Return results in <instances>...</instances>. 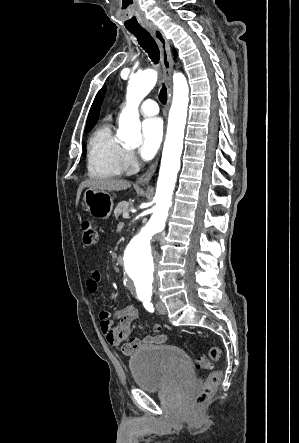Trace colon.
I'll use <instances>...</instances> for the list:
<instances>
[{"label":"colon","mask_w":299,"mask_h":443,"mask_svg":"<svg viewBox=\"0 0 299 443\" xmlns=\"http://www.w3.org/2000/svg\"><path fill=\"white\" fill-rule=\"evenodd\" d=\"M81 237L84 245L93 246L97 243L98 235L93 223L89 220H83L80 224ZM222 357V351L218 347H213L208 356H200L197 360V368L209 369L213 363L219 361ZM222 379L221 370H213L209 373L201 392L196 396L197 405L205 404L214 391L219 386Z\"/></svg>","instance_id":"5ec220e1"}]
</instances>
